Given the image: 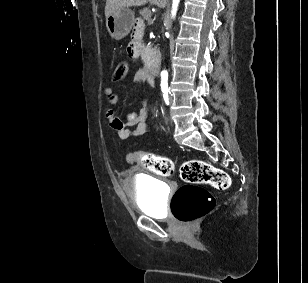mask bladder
I'll list each match as a JSON object with an SVG mask.
<instances>
[{
	"label": "bladder",
	"mask_w": 308,
	"mask_h": 283,
	"mask_svg": "<svg viewBox=\"0 0 308 283\" xmlns=\"http://www.w3.org/2000/svg\"><path fill=\"white\" fill-rule=\"evenodd\" d=\"M133 197L137 208L154 218L166 216V194L163 184L156 178L141 174L131 180Z\"/></svg>",
	"instance_id": "1"
}]
</instances>
